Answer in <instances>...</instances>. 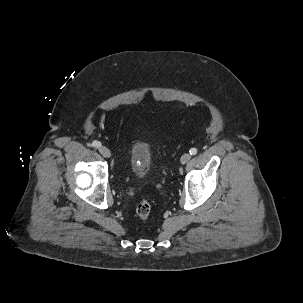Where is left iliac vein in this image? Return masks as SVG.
I'll list each match as a JSON object with an SVG mask.
<instances>
[{
	"instance_id": "4c4485c4",
	"label": "left iliac vein",
	"mask_w": 303,
	"mask_h": 303,
	"mask_svg": "<svg viewBox=\"0 0 303 303\" xmlns=\"http://www.w3.org/2000/svg\"><path fill=\"white\" fill-rule=\"evenodd\" d=\"M191 158V155L189 153H185L181 156V163L186 164Z\"/></svg>"
}]
</instances>
